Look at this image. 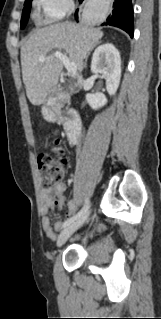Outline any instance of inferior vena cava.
<instances>
[{
  "instance_id": "1",
  "label": "inferior vena cava",
  "mask_w": 161,
  "mask_h": 319,
  "mask_svg": "<svg viewBox=\"0 0 161 319\" xmlns=\"http://www.w3.org/2000/svg\"><path fill=\"white\" fill-rule=\"evenodd\" d=\"M73 10H74V7H71V8H70V11H69V14H71V12H72ZM78 84H79V85H82V76H79V77H78Z\"/></svg>"
}]
</instances>
